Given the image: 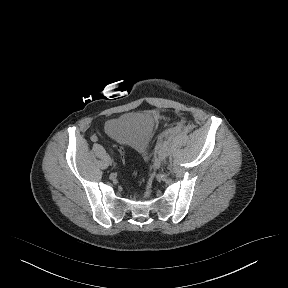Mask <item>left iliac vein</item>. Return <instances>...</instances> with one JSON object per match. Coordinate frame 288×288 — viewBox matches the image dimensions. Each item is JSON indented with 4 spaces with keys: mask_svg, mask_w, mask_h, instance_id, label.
Listing matches in <instances>:
<instances>
[{
    "mask_svg": "<svg viewBox=\"0 0 288 288\" xmlns=\"http://www.w3.org/2000/svg\"><path fill=\"white\" fill-rule=\"evenodd\" d=\"M166 160V154L165 153H162L159 157V161L160 162H164Z\"/></svg>",
    "mask_w": 288,
    "mask_h": 288,
    "instance_id": "obj_1",
    "label": "left iliac vein"
}]
</instances>
